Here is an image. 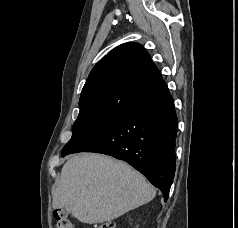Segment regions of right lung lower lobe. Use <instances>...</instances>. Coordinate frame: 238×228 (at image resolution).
<instances>
[{"label": "right lung lower lobe", "mask_w": 238, "mask_h": 228, "mask_svg": "<svg viewBox=\"0 0 238 228\" xmlns=\"http://www.w3.org/2000/svg\"><path fill=\"white\" fill-rule=\"evenodd\" d=\"M178 120L167 91L120 115L71 153L96 152L128 162L161 190L167 201L175 174Z\"/></svg>", "instance_id": "98d812e1"}]
</instances>
